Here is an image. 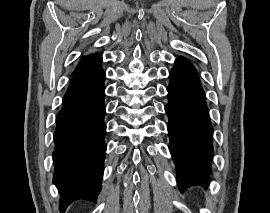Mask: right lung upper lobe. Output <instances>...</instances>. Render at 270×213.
I'll return each mask as SVG.
<instances>
[{"label": "right lung upper lobe", "mask_w": 270, "mask_h": 213, "mask_svg": "<svg viewBox=\"0 0 270 213\" xmlns=\"http://www.w3.org/2000/svg\"><path fill=\"white\" fill-rule=\"evenodd\" d=\"M101 61L102 59L99 53L87 55L80 60L76 69L73 71L71 75L73 76L87 70L98 68L100 67Z\"/></svg>", "instance_id": "1"}]
</instances>
